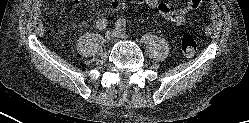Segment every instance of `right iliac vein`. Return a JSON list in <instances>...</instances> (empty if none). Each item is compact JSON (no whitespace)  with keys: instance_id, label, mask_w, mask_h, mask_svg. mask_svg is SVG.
Returning <instances> with one entry per match:
<instances>
[{"instance_id":"obj_1","label":"right iliac vein","mask_w":249,"mask_h":123,"mask_svg":"<svg viewBox=\"0 0 249 123\" xmlns=\"http://www.w3.org/2000/svg\"><path fill=\"white\" fill-rule=\"evenodd\" d=\"M114 32L113 31H107L106 33H105V39L107 40V41H111L113 38H114Z\"/></svg>"}]
</instances>
